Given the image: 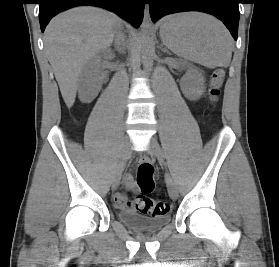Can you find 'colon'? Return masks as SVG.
I'll return each mask as SVG.
<instances>
[{
	"mask_svg": "<svg viewBox=\"0 0 279 267\" xmlns=\"http://www.w3.org/2000/svg\"><path fill=\"white\" fill-rule=\"evenodd\" d=\"M225 71L223 67H217L211 74L208 89V98L211 103H215L220 95V89L224 80ZM136 183L142 194L137 196L134 207L145 215L160 216L168 213L170 205L163 201H154L147 195L155 188L154 167L148 162H142L137 170Z\"/></svg>",
	"mask_w": 279,
	"mask_h": 267,
	"instance_id": "obj_1",
	"label": "colon"
}]
</instances>
